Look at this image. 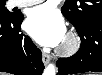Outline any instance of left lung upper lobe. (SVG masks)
<instances>
[{
  "mask_svg": "<svg viewBox=\"0 0 102 75\" xmlns=\"http://www.w3.org/2000/svg\"><path fill=\"white\" fill-rule=\"evenodd\" d=\"M61 12L74 27L83 22H102V1L66 0L61 8Z\"/></svg>",
  "mask_w": 102,
  "mask_h": 75,
  "instance_id": "left-lung-upper-lobe-1",
  "label": "left lung upper lobe"
}]
</instances>
